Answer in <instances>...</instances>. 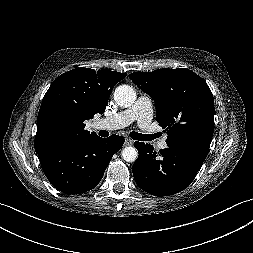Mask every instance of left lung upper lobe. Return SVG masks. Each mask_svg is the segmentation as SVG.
Wrapping results in <instances>:
<instances>
[{
  "label": "left lung upper lobe",
  "instance_id": "1",
  "mask_svg": "<svg viewBox=\"0 0 253 253\" xmlns=\"http://www.w3.org/2000/svg\"><path fill=\"white\" fill-rule=\"evenodd\" d=\"M132 81L154 101L157 121L171 147L210 146L214 131V100L207 83L185 68L134 72Z\"/></svg>",
  "mask_w": 253,
  "mask_h": 253
}]
</instances>
